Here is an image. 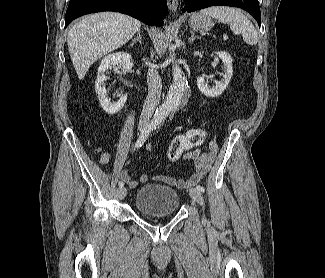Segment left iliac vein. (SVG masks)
Masks as SVG:
<instances>
[{"label": "left iliac vein", "instance_id": "1", "mask_svg": "<svg viewBox=\"0 0 325 278\" xmlns=\"http://www.w3.org/2000/svg\"><path fill=\"white\" fill-rule=\"evenodd\" d=\"M189 195L196 203H198L202 206L204 205V198H203V195L201 192H199L196 189H191L189 191Z\"/></svg>", "mask_w": 325, "mask_h": 278}]
</instances>
